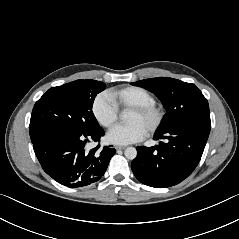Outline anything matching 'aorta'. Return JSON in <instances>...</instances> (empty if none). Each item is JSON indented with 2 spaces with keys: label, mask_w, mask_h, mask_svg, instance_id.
<instances>
[{
  "label": "aorta",
  "mask_w": 239,
  "mask_h": 239,
  "mask_svg": "<svg viewBox=\"0 0 239 239\" xmlns=\"http://www.w3.org/2000/svg\"><path fill=\"white\" fill-rule=\"evenodd\" d=\"M121 119H122V120H125V119H126V114L123 113V114L121 115ZM124 154H125V157H126L127 159L133 160V159H135L136 156H137V150H136L134 147H127V148L125 149Z\"/></svg>",
  "instance_id": "obj_1"
}]
</instances>
